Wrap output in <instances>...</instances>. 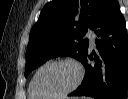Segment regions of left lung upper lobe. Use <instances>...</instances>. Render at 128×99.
Masks as SVG:
<instances>
[{
    "instance_id": "1",
    "label": "left lung upper lobe",
    "mask_w": 128,
    "mask_h": 99,
    "mask_svg": "<svg viewBox=\"0 0 128 99\" xmlns=\"http://www.w3.org/2000/svg\"><path fill=\"white\" fill-rule=\"evenodd\" d=\"M107 0H52L31 30L26 51L25 77L57 56L81 60L88 51L87 28L94 29ZM76 26L74 29L73 27Z\"/></svg>"
}]
</instances>
